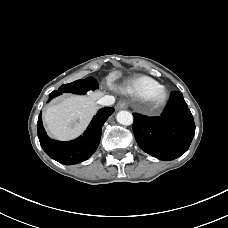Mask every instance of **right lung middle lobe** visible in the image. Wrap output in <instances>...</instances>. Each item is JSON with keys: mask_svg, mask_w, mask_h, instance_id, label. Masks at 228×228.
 Here are the masks:
<instances>
[{"mask_svg": "<svg viewBox=\"0 0 228 228\" xmlns=\"http://www.w3.org/2000/svg\"><path fill=\"white\" fill-rule=\"evenodd\" d=\"M98 84L95 78L88 77L86 79L77 80L69 84L62 85L58 91L61 93L71 92L74 94H85L88 90H95Z\"/></svg>", "mask_w": 228, "mask_h": 228, "instance_id": "1", "label": "right lung middle lobe"}]
</instances>
